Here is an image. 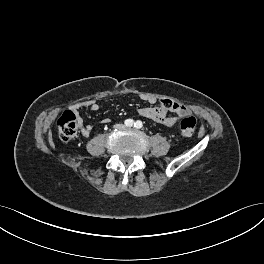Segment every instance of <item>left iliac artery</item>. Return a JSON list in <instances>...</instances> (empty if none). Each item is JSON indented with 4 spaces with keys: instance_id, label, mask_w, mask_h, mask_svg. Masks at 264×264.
I'll use <instances>...</instances> for the list:
<instances>
[{
    "instance_id": "44dca946",
    "label": "left iliac artery",
    "mask_w": 264,
    "mask_h": 264,
    "mask_svg": "<svg viewBox=\"0 0 264 264\" xmlns=\"http://www.w3.org/2000/svg\"><path fill=\"white\" fill-rule=\"evenodd\" d=\"M134 127L137 128V129L142 128V127H143L142 121L137 120V121L134 123Z\"/></svg>"
}]
</instances>
